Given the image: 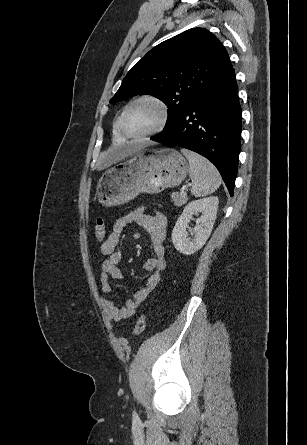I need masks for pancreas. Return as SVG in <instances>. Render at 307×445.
<instances>
[{
	"label": "pancreas",
	"instance_id": "cf45deb5",
	"mask_svg": "<svg viewBox=\"0 0 307 445\" xmlns=\"http://www.w3.org/2000/svg\"><path fill=\"white\" fill-rule=\"evenodd\" d=\"M170 198L173 200L175 206H182V204H185L188 200L186 194H179V192H172Z\"/></svg>",
	"mask_w": 307,
	"mask_h": 445
}]
</instances>
